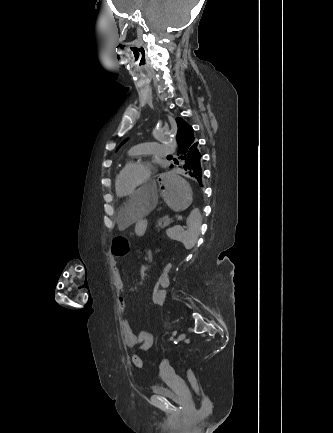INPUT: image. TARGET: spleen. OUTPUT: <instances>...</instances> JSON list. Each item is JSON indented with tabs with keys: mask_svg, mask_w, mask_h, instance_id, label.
<instances>
[{
	"mask_svg": "<svg viewBox=\"0 0 333 433\" xmlns=\"http://www.w3.org/2000/svg\"><path fill=\"white\" fill-rule=\"evenodd\" d=\"M171 176V175H166ZM187 182V181H185ZM201 213L197 206L191 208L190 216L187 218V226L176 225L167 234L173 240L183 243L186 249H191L195 246L200 234Z\"/></svg>",
	"mask_w": 333,
	"mask_h": 433,
	"instance_id": "obj_1",
	"label": "spleen"
}]
</instances>
